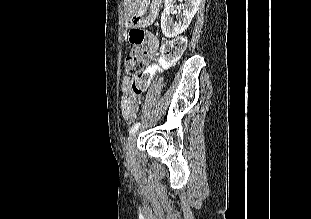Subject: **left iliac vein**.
Listing matches in <instances>:
<instances>
[{
	"label": "left iliac vein",
	"mask_w": 311,
	"mask_h": 219,
	"mask_svg": "<svg viewBox=\"0 0 311 219\" xmlns=\"http://www.w3.org/2000/svg\"><path fill=\"white\" fill-rule=\"evenodd\" d=\"M135 141H136V133L131 135L125 148L126 159L130 164L134 162Z\"/></svg>",
	"instance_id": "1"
}]
</instances>
